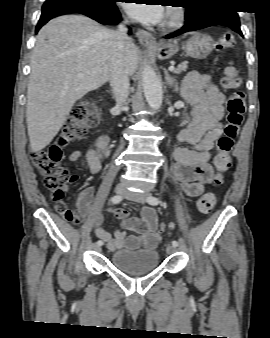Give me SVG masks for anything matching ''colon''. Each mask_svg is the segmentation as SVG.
Listing matches in <instances>:
<instances>
[{
  "label": "colon",
  "instance_id": "1",
  "mask_svg": "<svg viewBox=\"0 0 270 338\" xmlns=\"http://www.w3.org/2000/svg\"><path fill=\"white\" fill-rule=\"evenodd\" d=\"M234 46L235 38L232 33H224L215 40L217 50H229ZM221 84L230 93L226 102L227 113L223 135L217 141V153L213 158L217 184L221 183L224 173L231 168V152L243 123L245 111L244 95L238 90L240 78L239 68L236 65L230 64L225 68ZM95 121L96 116L91 109V105L77 106L72 110L70 117L56 135L54 142L47 149L31 153L32 163L43 176L45 187L51 192V199L56 210L70 222L74 221V212L64 206L63 200L65 193L78 177L61 164L63 149L83 139L87 134L88 127ZM215 203L216 197L207 193L198 198L196 207L202 214H210ZM129 227L136 229L139 225L133 222L129 224ZM163 229L164 226H162Z\"/></svg>",
  "mask_w": 270,
  "mask_h": 338
}]
</instances>
